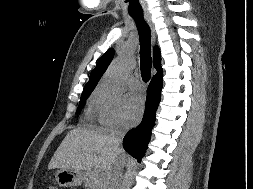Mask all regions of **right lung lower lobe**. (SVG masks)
Returning <instances> with one entry per match:
<instances>
[{
    "label": "right lung lower lobe",
    "mask_w": 253,
    "mask_h": 189,
    "mask_svg": "<svg viewBox=\"0 0 253 189\" xmlns=\"http://www.w3.org/2000/svg\"><path fill=\"white\" fill-rule=\"evenodd\" d=\"M162 76L155 75L147 89L146 107L141 123L126 134L123 146L128 153L140 162L150 140L151 130L155 123V113L160 102Z\"/></svg>",
    "instance_id": "1"
}]
</instances>
